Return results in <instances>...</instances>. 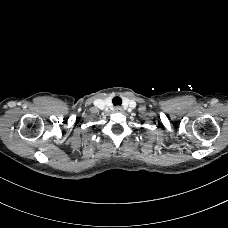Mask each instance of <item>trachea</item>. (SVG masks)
Listing matches in <instances>:
<instances>
[{
    "instance_id": "3493384b",
    "label": "trachea",
    "mask_w": 228,
    "mask_h": 228,
    "mask_svg": "<svg viewBox=\"0 0 228 228\" xmlns=\"http://www.w3.org/2000/svg\"><path fill=\"white\" fill-rule=\"evenodd\" d=\"M112 103L116 105H121L122 104V99L120 97H114L112 100Z\"/></svg>"
}]
</instances>
